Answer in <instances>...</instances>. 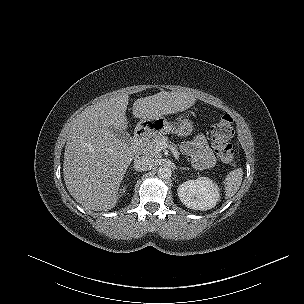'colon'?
Wrapping results in <instances>:
<instances>
[{"mask_svg": "<svg viewBox=\"0 0 304 304\" xmlns=\"http://www.w3.org/2000/svg\"><path fill=\"white\" fill-rule=\"evenodd\" d=\"M232 122V118L225 115L211 128L210 133L212 147L224 163H231L234 158V149L229 143L233 135Z\"/></svg>", "mask_w": 304, "mask_h": 304, "instance_id": "obj_1", "label": "colon"}]
</instances>
